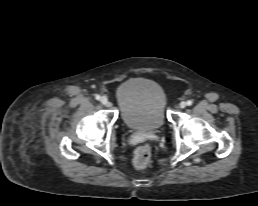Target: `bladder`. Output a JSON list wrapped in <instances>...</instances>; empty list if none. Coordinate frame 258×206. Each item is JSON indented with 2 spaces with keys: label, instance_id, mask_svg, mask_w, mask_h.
<instances>
[{
  "label": "bladder",
  "instance_id": "bladder-1",
  "mask_svg": "<svg viewBox=\"0 0 258 206\" xmlns=\"http://www.w3.org/2000/svg\"><path fill=\"white\" fill-rule=\"evenodd\" d=\"M115 99L123 123L132 130L155 131L166 121V97L156 82L132 79L121 83Z\"/></svg>",
  "mask_w": 258,
  "mask_h": 206
}]
</instances>
